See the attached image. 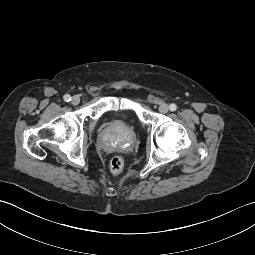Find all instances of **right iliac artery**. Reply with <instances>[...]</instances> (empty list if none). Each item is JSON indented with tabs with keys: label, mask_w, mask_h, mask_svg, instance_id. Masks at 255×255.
<instances>
[{
	"label": "right iliac artery",
	"mask_w": 255,
	"mask_h": 255,
	"mask_svg": "<svg viewBox=\"0 0 255 255\" xmlns=\"http://www.w3.org/2000/svg\"><path fill=\"white\" fill-rule=\"evenodd\" d=\"M63 98H64V101L66 102L71 101V96L69 94H66Z\"/></svg>",
	"instance_id": "obj_1"
}]
</instances>
